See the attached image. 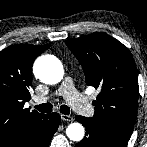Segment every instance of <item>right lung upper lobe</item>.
Listing matches in <instances>:
<instances>
[{"label": "right lung upper lobe", "instance_id": "cb5924a9", "mask_svg": "<svg viewBox=\"0 0 147 147\" xmlns=\"http://www.w3.org/2000/svg\"><path fill=\"white\" fill-rule=\"evenodd\" d=\"M49 47L17 44L0 52V144L45 117L24 104L30 99L32 64Z\"/></svg>", "mask_w": 147, "mask_h": 147}]
</instances>
